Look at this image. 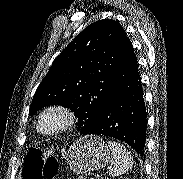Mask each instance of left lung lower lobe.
I'll return each mask as SVG.
<instances>
[{"mask_svg": "<svg viewBox=\"0 0 183 179\" xmlns=\"http://www.w3.org/2000/svg\"><path fill=\"white\" fill-rule=\"evenodd\" d=\"M146 125L147 115L137 58L128 38L109 101L88 134L116 138L143 156Z\"/></svg>", "mask_w": 183, "mask_h": 179, "instance_id": "obj_1", "label": "left lung lower lobe"}]
</instances>
